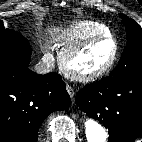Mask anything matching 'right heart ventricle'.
<instances>
[{
    "instance_id": "obj_1",
    "label": "right heart ventricle",
    "mask_w": 142,
    "mask_h": 142,
    "mask_svg": "<svg viewBox=\"0 0 142 142\" xmlns=\"http://www.w3.org/2000/svg\"><path fill=\"white\" fill-rule=\"evenodd\" d=\"M109 34H111L110 29L105 24L84 20L61 29L56 36V41L62 50L67 51L90 37Z\"/></svg>"
}]
</instances>
